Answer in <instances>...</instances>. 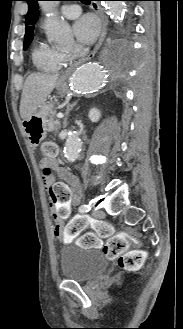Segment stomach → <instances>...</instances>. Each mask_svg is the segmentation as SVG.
I'll return each mask as SVG.
<instances>
[{"mask_svg":"<svg viewBox=\"0 0 183 329\" xmlns=\"http://www.w3.org/2000/svg\"><path fill=\"white\" fill-rule=\"evenodd\" d=\"M57 89L60 94L64 93L63 84L58 83ZM53 108L52 102L45 101L29 119L23 121V128L31 146H38L46 138L48 117Z\"/></svg>","mask_w":183,"mask_h":329,"instance_id":"1","label":"stomach"}]
</instances>
